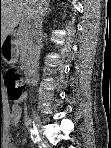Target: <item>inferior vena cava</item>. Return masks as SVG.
I'll return each mask as SVG.
<instances>
[{
    "mask_svg": "<svg viewBox=\"0 0 111 148\" xmlns=\"http://www.w3.org/2000/svg\"><path fill=\"white\" fill-rule=\"evenodd\" d=\"M48 5V0H42L38 4L36 10L32 16V29L30 32L31 37V55L35 60H38L41 48V33H42V22L44 12Z\"/></svg>",
    "mask_w": 111,
    "mask_h": 148,
    "instance_id": "inferior-vena-cava-1",
    "label": "inferior vena cava"
}]
</instances>
